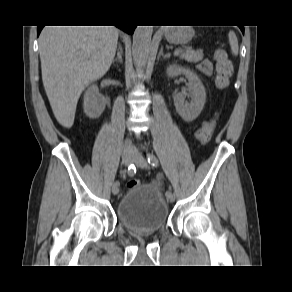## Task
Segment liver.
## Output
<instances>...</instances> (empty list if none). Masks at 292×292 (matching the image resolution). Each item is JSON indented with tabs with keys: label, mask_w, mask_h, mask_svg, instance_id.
Segmentation results:
<instances>
[{
	"label": "liver",
	"mask_w": 292,
	"mask_h": 292,
	"mask_svg": "<svg viewBox=\"0 0 292 292\" xmlns=\"http://www.w3.org/2000/svg\"><path fill=\"white\" fill-rule=\"evenodd\" d=\"M118 35L114 26H45L42 30V81L54 116L63 127H72L85 87L110 68Z\"/></svg>",
	"instance_id": "1"
}]
</instances>
